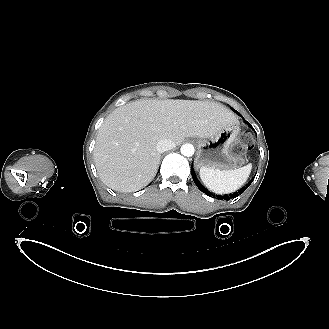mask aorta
Wrapping results in <instances>:
<instances>
[{"mask_svg": "<svg viewBox=\"0 0 329 329\" xmlns=\"http://www.w3.org/2000/svg\"><path fill=\"white\" fill-rule=\"evenodd\" d=\"M181 154L186 157H191L194 154V146L192 144H183L180 148Z\"/></svg>", "mask_w": 329, "mask_h": 329, "instance_id": "762f6f07", "label": "aorta"}]
</instances>
